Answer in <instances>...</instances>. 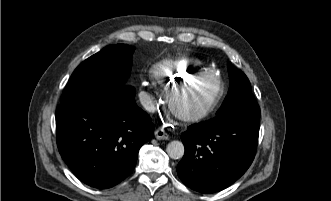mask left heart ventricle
I'll use <instances>...</instances> for the list:
<instances>
[{
  "mask_svg": "<svg viewBox=\"0 0 331 201\" xmlns=\"http://www.w3.org/2000/svg\"><path fill=\"white\" fill-rule=\"evenodd\" d=\"M216 83L213 78L195 81L180 87L173 93V102L181 111L189 112L200 107L215 91Z\"/></svg>",
  "mask_w": 331,
  "mask_h": 201,
  "instance_id": "left-heart-ventricle-1",
  "label": "left heart ventricle"
}]
</instances>
